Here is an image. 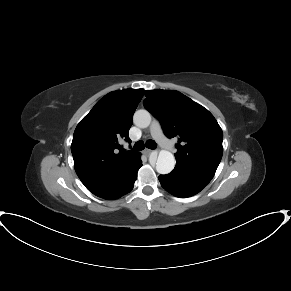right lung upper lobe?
<instances>
[{
  "label": "right lung upper lobe",
  "mask_w": 291,
  "mask_h": 291,
  "mask_svg": "<svg viewBox=\"0 0 291 291\" xmlns=\"http://www.w3.org/2000/svg\"><path fill=\"white\" fill-rule=\"evenodd\" d=\"M143 89L113 91L101 98L77 125L71 144L75 171L87 187L108 183L129 169L138 153L123 151Z\"/></svg>",
  "instance_id": "obj_1"
}]
</instances>
